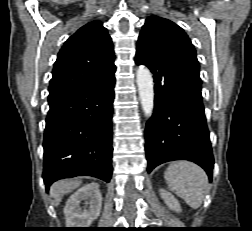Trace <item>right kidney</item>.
<instances>
[{
  "label": "right kidney",
  "mask_w": 252,
  "mask_h": 231,
  "mask_svg": "<svg viewBox=\"0 0 252 231\" xmlns=\"http://www.w3.org/2000/svg\"><path fill=\"white\" fill-rule=\"evenodd\" d=\"M83 204V206H81ZM102 195L99 184L90 183L79 188L67 200L64 214L67 228H89L101 212Z\"/></svg>",
  "instance_id": "obj_1"
}]
</instances>
